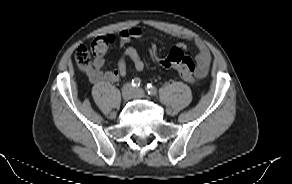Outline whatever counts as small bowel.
Returning a JSON list of instances; mask_svg holds the SVG:
<instances>
[{
	"instance_id": "c3829d8e",
	"label": "small bowel",
	"mask_w": 292,
	"mask_h": 184,
	"mask_svg": "<svg viewBox=\"0 0 292 184\" xmlns=\"http://www.w3.org/2000/svg\"><path fill=\"white\" fill-rule=\"evenodd\" d=\"M143 31L140 27H131L124 29L119 33V41L121 47H125L133 39L142 37ZM197 48L196 62L197 68L195 71V77L200 79L207 75L211 62V55L206 45L200 41L195 42ZM176 47L185 49V45L179 43ZM127 59H130L136 70L142 71L144 69V62L140 58L137 50L133 47H126L119 58L117 68L112 71H102L105 64L103 56L95 58L92 67L86 72L89 80L94 83H114L121 81L127 73Z\"/></svg>"
}]
</instances>
